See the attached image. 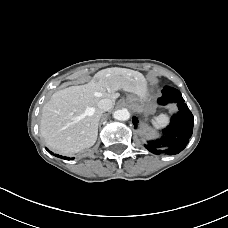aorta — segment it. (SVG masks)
I'll list each match as a JSON object with an SVG mask.
<instances>
[{
    "mask_svg": "<svg viewBox=\"0 0 228 228\" xmlns=\"http://www.w3.org/2000/svg\"><path fill=\"white\" fill-rule=\"evenodd\" d=\"M113 117L119 121H126L130 118V113L127 109H119L113 113Z\"/></svg>",
    "mask_w": 228,
    "mask_h": 228,
    "instance_id": "1",
    "label": "aorta"
}]
</instances>
